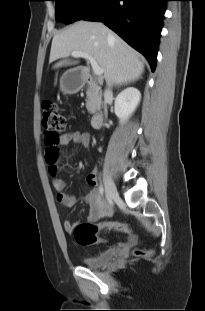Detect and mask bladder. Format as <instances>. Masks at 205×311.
Returning a JSON list of instances; mask_svg holds the SVG:
<instances>
[{"mask_svg":"<svg viewBox=\"0 0 205 311\" xmlns=\"http://www.w3.org/2000/svg\"><path fill=\"white\" fill-rule=\"evenodd\" d=\"M118 253L119 248L116 246H112L94 254H83L81 257V262L88 268H102L112 263L117 258Z\"/></svg>","mask_w":205,"mask_h":311,"instance_id":"obj_1","label":"bladder"}]
</instances>
